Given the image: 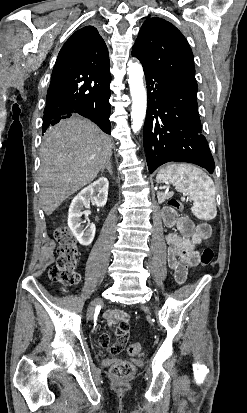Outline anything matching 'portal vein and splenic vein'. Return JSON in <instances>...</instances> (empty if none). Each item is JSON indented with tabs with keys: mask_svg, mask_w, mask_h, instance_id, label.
I'll return each instance as SVG.
<instances>
[{
	"mask_svg": "<svg viewBox=\"0 0 247 413\" xmlns=\"http://www.w3.org/2000/svg\"><path fill=\"white\" fill-rule=\"evenodd\" d=\"M182 196H186V193H182Z\"/></svg>",
	"mask_w": 247,
	"mask_h": 413,
	"instance_id": "portal-vein-and-splenic-vein-1",
	"label": "portal vein and splenic vein"
}]
</instances>
